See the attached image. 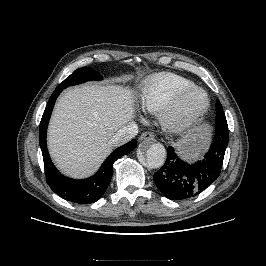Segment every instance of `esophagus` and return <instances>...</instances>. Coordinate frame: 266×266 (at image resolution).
<instances>
[{
	"instance_id": "1",
	"label": "esophagus",
	"mask_w": 266,
	"mask_h": 266,
	"mask_svg": "<svg viewBox=\"0 0 266 266\" xmlns=\"http://www.w3.org/2000/svg\"><path fill=\"white\" fill-rule=\"evenodd\" d=\"M155 138L154 134L151 133V132H143L140 137H139V140L140 141H144V140H147V141H153Z\"/></svg>"
}]
</instances>
